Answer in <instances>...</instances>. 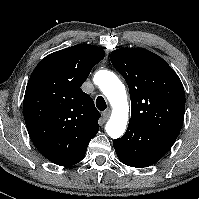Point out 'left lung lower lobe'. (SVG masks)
Here are the masks:
<instances>
[{"mask_svg":"<svg viewBox=\"0 0 199 199\" xmlns=\"http://www.w3.org/2000/svg\"><path fill=\"white\" fill-rule=\"evenodd\" d=\"M175 141L134 122H129L126 133L113 141L119 160L131 167H148L160 160Z\"/></svg>","mask_w":199,"mask_h":199,"instance_id":"0a47b994","label":"left lung lower lobe"}]
</instances>
